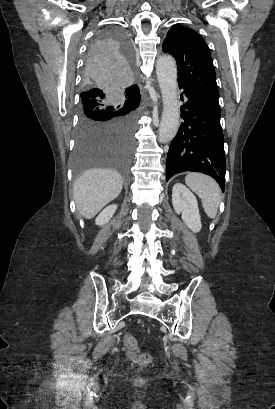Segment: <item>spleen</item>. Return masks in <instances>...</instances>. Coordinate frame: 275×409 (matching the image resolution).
I'll return each instance as SVG.
<instances>
[{
    "instance_id": "obj_1",
    "label": "spleen",
    "mask_w": 275,
    "mask_h": 409,
    "mask_svg": "<svg viewBox=\"0 0 275 409\" xmlns=\"http://www.w3.org/2000/svg\"><path fill=\"white\" fill-rule=\"evenodd\" d=\"M185 182L201 198L206 215L210 219H215L221 200V190L218 182L211 176H207V174H201V172H189L185 176Z\"/></svg>"
}]
</instances>
